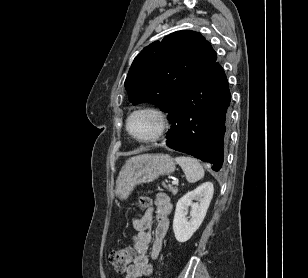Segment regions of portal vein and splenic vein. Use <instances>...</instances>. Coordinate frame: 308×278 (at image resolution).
I'll use <instances>...</instances> for the list:
<instances>
[{"mask_svg":"<svg viewBox=\"0 0 308 278\" xmlns=\"http://www.w3.org/2000/svg\"><path fill=\"white\" fill-rule=\"evenodd\" d=\"M178 183H179L178 180L172 181V184H174V185H177Z\"/></svg>","mask_w":308,"mask_h":278,"instance_id":"18ae733b","label":"portal vein and splenic vein"}]
</instances>
